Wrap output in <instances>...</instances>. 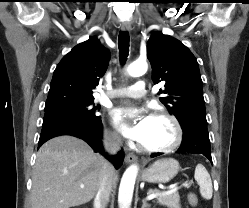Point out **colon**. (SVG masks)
<instances>
[{"label": "colon", "instance_id": "5ec220e1", "mask_svg": "<svg viewBox=\"0 0 249 208\" xmlns=\"http://www.w3.org/2000/svg\"><path fill=\"white\" fill-rule=\"evenodd\" d=\"M188 201H189V203H190L191 206H193V207L197 206V204H198V198H197L196 194L189 193V195H188Z\"/></svg>", "mask_w": 249, "mask_h": 208}]
</instances>
